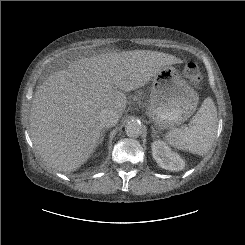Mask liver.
Returning a JSON list of instances; mask_svg holds the SVG:
<instances>
[{
	"instance_id": "liver-1",
	"label": "liver",
	"mask_w": 245,
	"mask_h": 245,
	"mask_svg": "<svg viewBox=\"0 0 245 245\" xmlns=\"http://www.w3.org/2000/svg\"><path fill=\"white\" fill-rule=\"evenodd\" d=\"M180 63L163 52L132 50L82 58L51 74L35 92L29 115L40 157L58 171L78 169L99 144L101 110L111 108L122 115L125 93Z\"/></svg>"
}]
</instances>
